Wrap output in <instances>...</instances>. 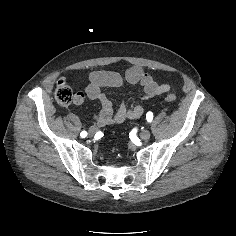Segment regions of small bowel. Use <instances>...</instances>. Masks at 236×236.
I'll list each match as a JSON object with an SVG mask.
<instances>
[{
	"instance_id": "c3829d8e",
	"label": "small bowel",
	"mask_w": 236,
	"mask_h": 236,
	"mask_svg": "<svg viewBox=\"0 0 236 236\" xmlns=\"http://www.w3.org/2000/svg\"><path fill=\"white\" fill-rule=\"evenodd\" d=\"M139 85L143 95L139 102H128L120 105L114 112L108 96L102 91L103 88H118L123 84ZM170 90L166 83L157 82L150 74L141 67L133 66L124 75L113 71L96 70L90 73L89 83L85 92H77L74 96V104L82 105L85 97L97 100L101 109L92 119L98 126L121 124L126 120L139 118L145 111V101Z\"/></svg>"
}]
</instances>
